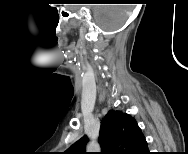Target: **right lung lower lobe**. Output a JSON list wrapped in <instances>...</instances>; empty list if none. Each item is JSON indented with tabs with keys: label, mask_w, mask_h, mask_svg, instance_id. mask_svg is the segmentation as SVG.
Here are the masks:
<instances>
[{
	"label": "right lung lower lobe",
	"mask_w": 188,
	"mask_h": 154,
	"mask_svg": "<svg viewBox=\"0 0 188 154\" xmlns=\"http://www.w3.org/2000/svg\"><path fill=\"white\" fill-rule=\"evenodd\" d=\"M144 154H149V151H148V149L144 152Z\"/></svg>",
	"instance_id": "right-lung-lower-lobe-1"
}]
</instances>
